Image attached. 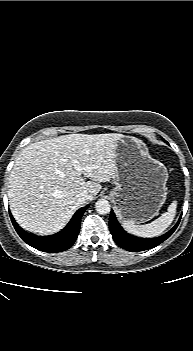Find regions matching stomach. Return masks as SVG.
Listing matches in <instances>:
<instances>
[{"label":"stomach","mask_w":193,"mask_h":351,"mask_svg":"<svg viewBox=\"0 0 193 351\" xmlns=\"http://www.w3.org/2000/svg\"><path fill=\"white\" fill-rule=\"evenodd\" d=\"M115 165L110 196L119 218L137 224L151 220L166 200L167 168L150 156L142 140L131 136L117 140Z\"/></svg>","instance_id":"obj_1"}]
</instances>
